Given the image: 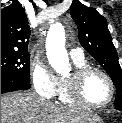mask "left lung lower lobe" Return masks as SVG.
Returning <instances> with one entry per match:
<instances>
[{"label": "left lung lower lobe", "instance_id": "1", "mask_svg": "<svg viewBox=\"0 0 122 123\" xmlns=\"http://www.w3.org/2000/svg\"><path fill=\"white\" fill-rule=\"evenodd\" d=\"M115 109L122 111V106H115Z\"/></svg>", "mask_w": 122, "mask_h": 123}]
</instances>
